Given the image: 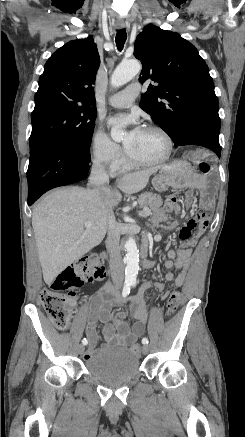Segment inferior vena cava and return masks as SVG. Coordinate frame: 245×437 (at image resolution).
<instances>
[{
	"mask_svg": "<svg viewBox=\"0 0 245 437\" xmlns=\"http://www.w3.org/2000/svg\"><path fill=\"white\" fill-rule=\"evenodd\" d=\"M90 182L98 192L106 191L108 188L107 185L109 184V176L105 170V167L99 160H94L93 162ZM106 206L108 207V202H106ZM113 227L114 218L113 215L110 214L108 220V236L105 244L109 253V269L111 278L114 285L119 286L124 280V267L119 247L120 236Z\"/></svg>",
	"mask_w": 245,
	"mask_h": 437,
	"instance_id": "1",
	"label": "inferior vena cava"
}]
</instances>
